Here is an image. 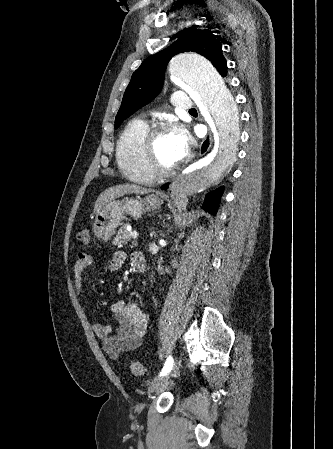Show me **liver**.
<instances>
[{"instance_id": "6515ba94", "label": "liver", "mask_w": 333, "mask_h": 449, "mask_svg": "<svg viewBox=\"0 0 333 449\" xmlns=\"http://www.w3.org/2000/svg\"><path fill=\"white\" fill-rule=\"evenodd\" d=\"M149 189L142 188L135 184L125 183L106 189L100 194L95 202L94 213L96 214L109 201L124 196L126 194H147Z\"/></svg>"}]
</instances>
